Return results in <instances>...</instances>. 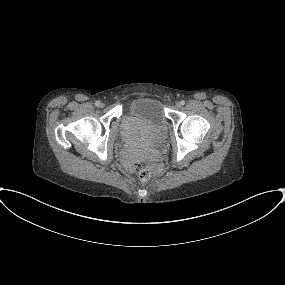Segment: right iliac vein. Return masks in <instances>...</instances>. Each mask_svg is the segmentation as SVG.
<instances>
[{"label": "right iliac vein", "mask_w": 285, "mask_h": 285, "mask_svg": "<svg viewBox=\"0 0 285 285\" xmlns=\"http://www.w3.org/2000/svg\"><path fill=\"white\" fill-rule=\"evenodd\" d=\"M103 106H104V104H103V103H100V104H99V107H103Z\"/></svg>", "instance_id": "63e3f726"}]
</instances>
